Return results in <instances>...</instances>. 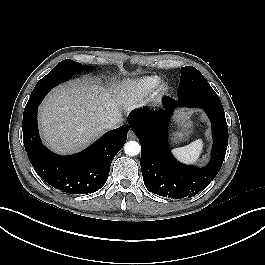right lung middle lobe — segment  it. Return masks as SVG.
Segmentation results:
<instances>
[{"mask_svg": "<svg viewBox=\"0 0 265 265\" xmlns=\"http://www.w3.org/2000/svg\"><path fill=\"white\" fill-rule=\"evenodd\" d=\"M84 67L73 60H63L58 63L51 72L44 76L35 86L27 102L24 112L33 108L41 96H45L53 87L68 80L75 73L82 71Z\"/></svg>", "mask_w": 265, "mask_h": 265, "instance_id": "1", "label": "right lung middle lobe"}]
</instances>
